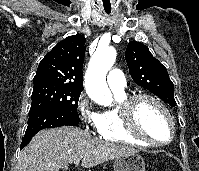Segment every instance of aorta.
I'll return each mask as SVG.
<instances>
[{"instance_id":"obj_1","label":"aorta","mask_w":199,"mask_h":171,"mask_svg":"<svg viewBox=\"0 0 199 171\" xmlns=\"http://www.w3.org/2000/svg\"><path fill=\"white\" fill-rule=\"evenodd\" d=\"M116 59V51L111 47H98L88 64L85 88L88 96L96 103L111 106V91L106 83V75Z\"/></svg>"}]
</instances>
